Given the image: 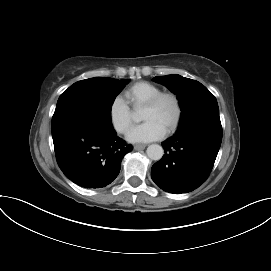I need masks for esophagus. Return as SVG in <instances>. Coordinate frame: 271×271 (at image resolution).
<instances>
[{
	"label": "esophagus",
	"instance_id": "obj_1",
	"mask_svg": "<svg viewBox=\"0 0 271 271\" xmlns=\"http://www.w3.org/2000/svg\"><path fill=\"white\" fill-rule=\"evenodd\" d=\"M146 145L145 144H136L134 146V149L135 150H142V149H145Z\"/></svg>",
	"mask_w": 271,
	"mask_h": 271
}]
</instances>
